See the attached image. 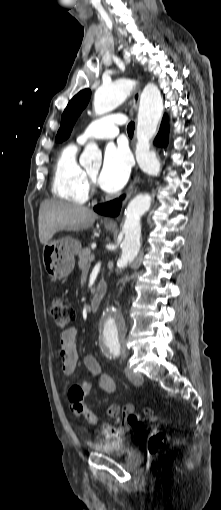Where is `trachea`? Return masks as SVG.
Instances as JSON below:
<instances>
[{
	"label": "trachea",
	"mask_w": 221,
	"mask_h": 510,
	"mask_svg": "<svg viewBox=\"0 0 221 510\" xmlns=\"http://www.w3.org/2000/svg\"><path fill=\"white\" fill-rule=\"evenodd\" d=\"M134 128H135L134 122H130L128 127H127V132H128L129 135H133Z\"/></svg>",
	"instance_id": "1"
}]
</instances>
